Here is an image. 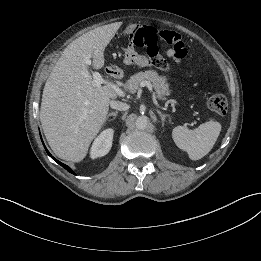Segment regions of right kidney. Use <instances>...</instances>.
<instances>
[{
  "label": "right kidney",
  "mask_w": 261,
  "mask_h": 261,
  "mask_svg": "<svg viewBox=\"0 0 261 261\" xmlns=\"http://www.w3.org/2000/svg\"><path fill=\"white\" fill-rule=\"evenodd\" d=\"M114 130H104L93 142L90 156L92 159L106 155L112 146Z\"/></svg>",
  "instance_id": "ca27d5eb"
}]
</instances>
